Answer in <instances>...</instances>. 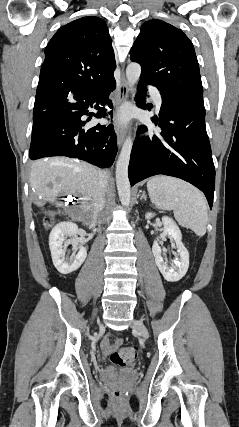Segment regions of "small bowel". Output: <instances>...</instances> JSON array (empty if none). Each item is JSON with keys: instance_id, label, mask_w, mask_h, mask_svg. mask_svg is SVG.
<instances>
[{"instance_id": "small-bowel-1", "label": "small bowel", "mask_w": 239, "mask_h": 427, "mask_svg": "<svg viewBox=\"0 0 239 427\" xmlns=\"http://www.w3.org/2000/svg\"><path fill=\"white\" fill-rule=\"evenodd\" d=\"M122 343L121 339H116L113 342L109 340L108 337L104 338L101 343V348L104 354H109L112 350L116 349Z\"/></svg>"}]
</instances>
